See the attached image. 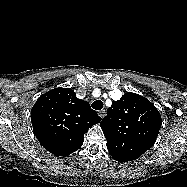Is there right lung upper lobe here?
I'll return each instance as SVG.
<instances>
[{
	"instance_id": "1",
	"label": "right lung upper lobe",
	"mask_w": 187,
	"mask_h": 187,
	"mask_svg": "<svg viewBox=\"0 0 187 187\" xmlns=\"http://www.w3.org/2000/svg\"><path fill=\"white\" fill-rule=\"evenodd\" d=\"M101 121L88 102L70 88L42 94L31 109V122L38 141L50 153L68 156L83 144L84 134Z\"/></svg>"
}]
</instances>
